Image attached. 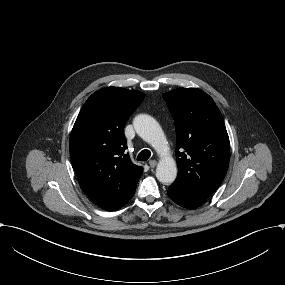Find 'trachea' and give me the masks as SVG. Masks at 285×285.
Masks as SVG:
<instances>
[{"mask_svg": "<svg viewBox=\"0 0 285 285\" xmlns=\"http://www.w3.org/2000/svg\"><path fill=\"white\" fill-rule=\"evenodd\" d=\"M150 156L151 152L149 150H142L137 156V161H147Z\"/></svg>", "mask_w": 285, "mask_h": 285, "instance_id": "obj_1", "label": "trachea"}]
</instances>
